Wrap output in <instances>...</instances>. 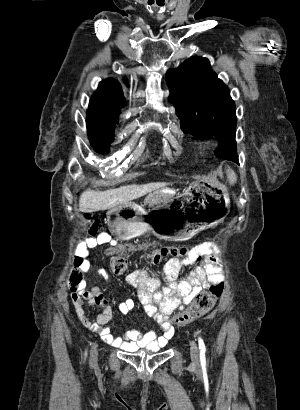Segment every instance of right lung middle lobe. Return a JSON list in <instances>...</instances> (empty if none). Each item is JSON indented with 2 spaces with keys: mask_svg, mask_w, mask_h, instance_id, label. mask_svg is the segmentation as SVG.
<instances>
[{
  "mask_svg": "<svg viewBox=\"0 0 300 410\" xmlns=\"http://www.w3.org/2000/svg\"><path fill=\"white\" fill-rule=\"evenodd\" d=\"M97 105V99L92 97L87 117L88 136L95 149L106 152L109 151L108 145L113 140L115 122H118V119L103 116L97 110Z\"/></svg>",
  "mask_w": 300,
  "mask_h": 410,
  "instance_id": "obj_1",
  "label": "right lung middle lobe"
}]
</instances>
